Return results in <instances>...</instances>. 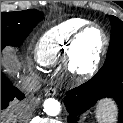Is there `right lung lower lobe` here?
Returning <instances> with one entry per match:
<instances>
[{
	"label": "right lung lower lobe",
	"instance_id": "1",
	"mask_svg": "<svg viewBox=\"0 0 123 123\" xmlns=\"http://www.w3.org/2000/svg\"><path fill=\"white\" fill-rule=\"evenodd\" d=\"M14 98L22 100L24 94L21 93L7 77L1 72V110L6 108Z\"/></svg>",
	"mask_w": 123,
	"mask_h": 123
}]
</instances>
